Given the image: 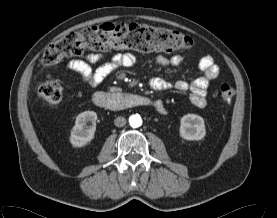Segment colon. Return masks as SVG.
<instances>
[{"label":"colon","mask_w":277,"mask_h":218,"mask_svg":"<svg viewBox=\"0 0 277 218\" xmlns=\"http://www.w3.org/2000/svg\"><path fill=\"white\" fill-rule=\"evenodd\" d=\"M193 47L190 37L169 28L140 24L105 23L68 33L43 52L41 63L54 65L66 57L83 54L86 50H132L140 53L174 52ZM39 96L53 105L62 99V87L58 81L46 80L38 89ZM235 96V89L229 84L219 87V98L223 105H229Z\"/></svg>","instance_id":"1"}]
</instances>
